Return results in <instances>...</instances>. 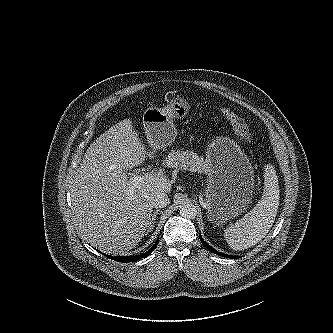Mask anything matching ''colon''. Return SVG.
Returning a JSON list of instances; mask_svg holds the SVG:
<instances>
[{"instance_id":"5ec220e1","label":"colon","mask_w":333,"mask_h":333,"mask_svg":"<svg viewBox=\"0 0 333 333\" xmlns=\"http://www.w3.org/2000/svg\"><path fill=\"white\" fill-rule=\"evenodd\" d=\"M222 111L230 121L232 128L236 135L239 137L240 141L244 144L250 142L251 133L245 120L227 107H223Z\"/></svg>"}]
</instances>
